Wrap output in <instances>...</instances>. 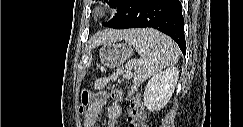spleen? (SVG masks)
Segmentation results:
<instances>
[{"instance_id": "1", "label": "spleen", "mask_w": 243, "mask_h": 127, "mask_svg": "<svg viewBox=\"0 0 243 127\" xmlns=\"http://www.w3.org/2000/svg\"><path fill=\"white\" fill-rule=\"evenodd\" d=\"M138 52L139 57L129 60L124 68H118L116 73L95 81V88H103L109 81L115 80L124 73L130 75L131 68H135L131 93L149 77L155 75L167 66L177 63L179 52L177 45L166 35L153 29L135 30L125 38Z\"/></svg>"}]
</instances>
